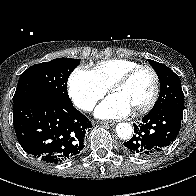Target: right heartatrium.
Segmentation results:
<instances>
[{
    "mask_svg": "<svg viewBox=\"0 0 196 196\" xmlns=\"http://www.w3.org/2000/svg\"><path fill=\"white\" fill-rule=\"evenodd\" d=\"M68 86L73 103L83 111H91L107 91L97 81L92 71L82 67L76 68L71 73Z\"/></svg>",
    "mask_w": 196,
    "mask_h": 196,
    "instance_id": "right-heart-atrium-1",
    "label": "right heart atrium"
}]
</instances>
